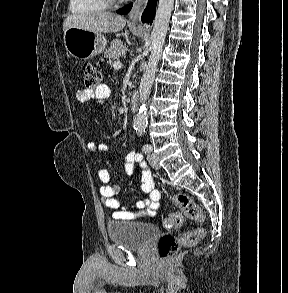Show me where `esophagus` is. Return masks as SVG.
Masks as SVG:
<instances>
[{"label":"esophagus","mask_w":288,"mask_h":293,"mask_svg":"<svg viewBox=\"0 0 288 293\" xmlns=\"http://www.w3.org/2000/svg\"><path fill=\"white\" fill-rule=\"evenodd\" d=\"M147 0H136L133 9L129 14V22L132 24H139L140 17Z\"/></svg>","instance_id":"obj_1"}]
</instances>
